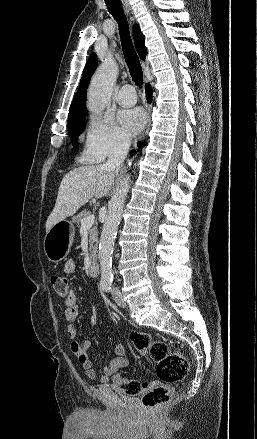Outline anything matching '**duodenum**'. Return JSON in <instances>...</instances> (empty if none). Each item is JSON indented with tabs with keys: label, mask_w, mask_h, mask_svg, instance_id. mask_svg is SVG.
Here are the masks:
<instances>
[{
	"label": "duodenum",
	"mask_w": 257,
	"mask_h": 439,
	"mask_svg": "<svg viewBox=\"0 0 257 439\" xmlns=\"http://www.w3.org/2000/svg\"><path fill=\"white\" fill-rule=\"evenodd\" d=\"M88 271L89 274L93 277L98 276L100 273V266L99 263L97 261V259L95 257H92L90 262H89V267H88Z\"/></svg>",
	"instance_id": "410a0bca"
}]
</instances>
